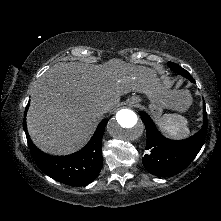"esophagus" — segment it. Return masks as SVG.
I'll return each instance as SVG.
<instances>
[{
    "instance_id": "34e87169",
    "label": "esophagus",
    "mask_w": 221,
    "mask_h": 221,
    "mask_svg": "<svg viewBox=\"0 0 221 221\" xmlns=\"http://www.w3.org/2000/svg\"><path fill=\"white\" fill-rule=\"evenodd\" d=\"M136 102H137V101H135V100H132V102H131V103H132V104H135Z\"/></svg>"
}]
</instances>
